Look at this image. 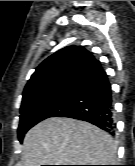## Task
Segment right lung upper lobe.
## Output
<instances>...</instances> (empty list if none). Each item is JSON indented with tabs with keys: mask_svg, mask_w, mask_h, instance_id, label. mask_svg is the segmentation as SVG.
<instances>
[{
	"mask_svg": "<svg viewBox=\"0 0 135 166\" xmlns=\"http://www.w3.org/2000/svg\"><path fill=\"white\" fill-rule=\"evenodd\" d=\"M100 67V62L84 47H65L36 68L24 88L22 104L68 86Z\"/></svg>",
	"mask_w": 135,
	"mask_h": 166,
	"instance_id": "cb5924a9",
	"label": "right lung upper lobe"
}]
</instances>
